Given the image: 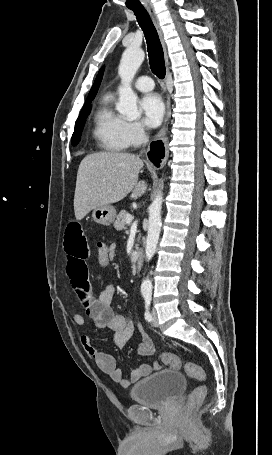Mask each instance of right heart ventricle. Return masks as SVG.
<instances>
[{
	"mask_svg": "<svg viewBox=\"0 0 272 455\" xmlns=\"http://www.w3.org/2000/svg\"><path fill=\"white\" fill-rule=\"evenodd\" d=\"M112 94L102 96L93 114L92 135L99 148L108 152H121L127 149L124 136L125 120L111 106Z\"/></svg>",
	"mask_w": 272,
	"mask_h": 455,
	"instance_id": "1",
	"label": "right heart ventricle"
}]
</instances>
